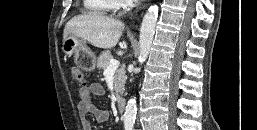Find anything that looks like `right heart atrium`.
I'll return each mask as SVG.
<instances>
[{"label":"right heart atrium","instance_id":"obj_1","mask_svg":"<svg viewBox=\"0 0 257 130\" xmlns=\"http://www.w3.org/2000/svg\"><path fill=\"white\" fill-rule=\"evenodd\" d=\"M119 1V5L122 7H126L130 4L131 0H118Z\"/></svg>","mask_w":257,"mask_h":130}]
</instances>
